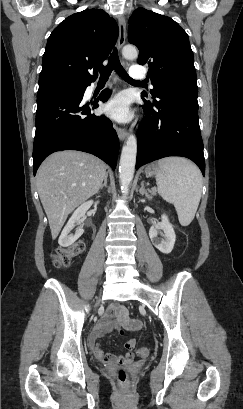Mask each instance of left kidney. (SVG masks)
<instances>
[{"instance_id":"1","label":"left kidney","mask_w":243,"mask_h":409,"mask_svg":"<svg viewBox=\"0 0 243 409\" xmlns=\"http://www.w3.org/2000/svg\"><path fill=\"white\" fill-rule=\"evenodd\" d=\"M161 234L164 238L158 237ZM149 236L153 245L162 253L169 254L174 248L176 234L168 217L163 214L161 222L151 226Z\"/></svg>"}]
</instances>
